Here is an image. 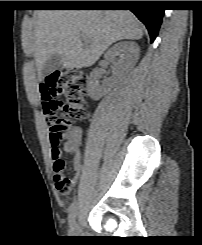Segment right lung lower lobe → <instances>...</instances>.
I'll list each match as a JSON object with an SVG mask.
<instances>
[{"mask_svg": "<svg viewBox=\"0 0 202 245\" xmlns=\"http://www.w3.org/2000/svg\"><path fill=\"white\" fill-rule=\"evenodd\" d=\"M82 7H130L138 19L144 23L148 29L151 42L158 35V30L162 22L164 9L159 6L157 1H80Z\"/></svg>", "mask_w": 202, "mask_h": 245, "instance_id": "obj_1", "label": "right lung lower lobe"}]
</instances>
